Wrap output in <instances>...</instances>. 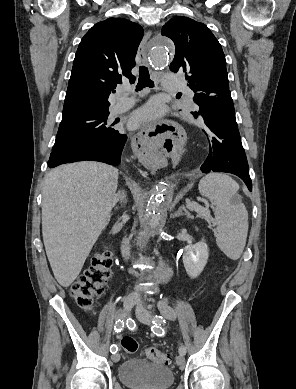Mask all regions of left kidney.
<instances>
[{"label":"left kidney","mask_w":296,"mask_h":389,"mask_svg":"<svg viewBox=\"0 0 296 389\" xmlns=\"http://www.w3.org/2000/svg\"><path fill=\"white\" fill-rule=\"evenodd\" d=\"M209 257L208 246L202 239L196 244L185 247L183 264L189 277L196 278L203 271Z\"/></svg>","instance_id":"1"}]
</instances>
